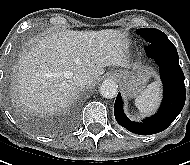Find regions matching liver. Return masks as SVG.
<instances>
[{
    "instance_id": "liver-1",
    "label": "liver",
    "mask_w": 190,
    "mask_h": 165,
    "mask_svg": "<svg viewBox=\"0 0 190 165\" xmlns=\"http://www.w3.org/2000/svg\"><path fill=\"white\" fill-rule=\"evenodd\" d=\"M126 50L119 30L48 32L32 40L15 65L18 102L30 112H61L76 95L75 73L85 71L94 81L107 66L129 68Z\"/></svg>"
}]
</instances>
